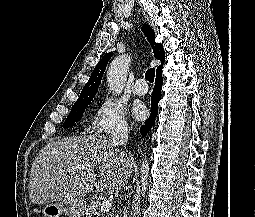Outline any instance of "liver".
Returning a JSON list of instances; mask_svg holds the SVG:
<instances>
[{
    "label": "liver",
    "mask_w": 255,
    "mask_h": 217,
    "mask_svg": "<svg viewBox=\"0 0 255 217\" xmlns=\"http://www.w3.org/2000/svg\"><path fill=\"white\" fill-rule=\"evenodd\" d=\"M131 173L130 158L113 149L110 139L101 135L65 138L49 143L35 157L29 197L32 203L42 205L82 199L95 187L101 193L116 194Z\"/></svg>",
    "instance_id": "1"
}]
</instances>
